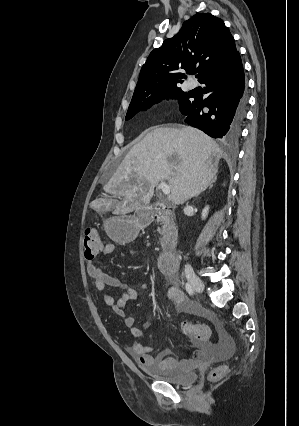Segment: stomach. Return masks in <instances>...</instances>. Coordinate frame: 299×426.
Returning a JSON list of instances; mask_svg holds the SVG:
<instances>
[{
	"instance_id": "stomach-1",
	"label": "stomach",
	"mask_w": 299,
	"mask_h": 426,
	"mask_svg": "<svg viewBox=\"0 0 299 426\" xmlns=\"http://www.w3.org/2000/svg\"><path fill=\"white\" fill-rule=\"evenodd\" d=\"M104 230L114 241L126 243L133 240L137 234V223L132 218L115 216L104 220Z\"/></svg>"
}]
</instances>
